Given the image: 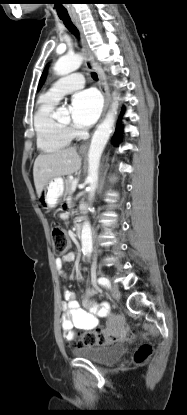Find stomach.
<instances>
[{
    "label": "stomach",
    "instance_id": "obj_1",
    "mask_svg": "<svg viewBox=\"0 0 187 415\" xmlns=\"http://www.w3.org/2000/svg\"><path fill=\"white\" fill-rule=\"evenodd\" d=\"M64 192V180L61 177H55L49 180L44 186L41 194L38 196L42 208L49 210L55 208L60 202Z\"/></svg>",
    "mask_w": 187,
    "mask_h": 415
}]
</instances>
